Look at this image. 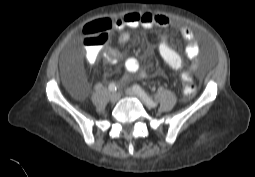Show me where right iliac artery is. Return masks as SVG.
Here are the masks:
<instances>
[{
  "instance_id": "right-iliac-artery-1",
  "label": "right iliac artery",
  "mask_w": 255,
  "mask_h": 177,
  "mask_svg": "<svg viewBox=\"0 0 255 177\" xmlns=\"http://www.w3.org/2000/svg\"><path fill=\"white\" fill-rule=\"evenodd\" d=\"M108 88L111 92H115L117 90V87L114 83H110Z\"/></svg>"
}]
</instances>
